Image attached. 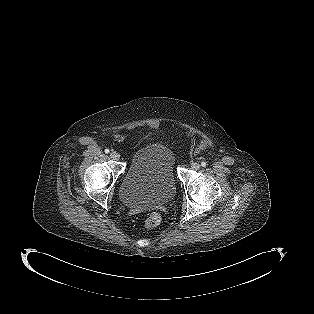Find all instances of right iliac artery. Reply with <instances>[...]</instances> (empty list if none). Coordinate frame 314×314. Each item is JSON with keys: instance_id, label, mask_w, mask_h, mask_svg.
Returning a JSON list of instances; mask_svg holds the SVG:
<instances>
[{"instance_id": "obj_1", "label": "right iliac artery", "mask_w": 314, "mask_h": 314, "mask_svg": "<svg viewBox=\"0 0 314 314\" xmlns=\"http://www.w3.org/2000/svg\"><path fill=\"white\" fill-rule=\"evenodd\" d=\"M110 151L109 149H105V153L108 154Z\"/></svg>"}]
</instances>
